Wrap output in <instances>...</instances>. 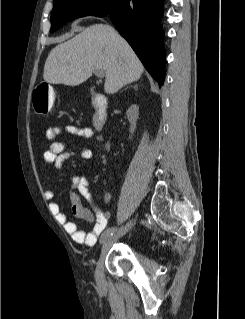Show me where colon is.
I'll return each mask as SVG.
<instances>
[{"label": "colon", "mask_w": 245, "mask_h": 319, "mask_svg": "<svg viewBox=\"0 0 245 319\" xmlns=\"http://www.w3.org/2000/svg\"><path fill=\"white\" fill-rule=\"evenodd\" d=\"M56 91L47 83L37 85L33 92V107L36 114L47 115L54 104Z\"/></svg>", "instance_id": "colon-1"}]
</instances>
